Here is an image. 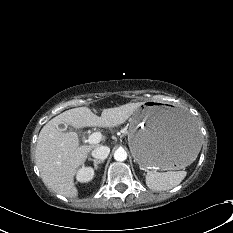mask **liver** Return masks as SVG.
Wrapping results in <instances>:
<instances>
[{
  "label": "liver",
  "instance_id": "liver-1",
  "mask_svg": "<svg viewBox=\"0 0 233 233\" xmlns=\"http://www.w3.org/2000/svg\"><path fill=\"white\" fill-rule=\"evenodd\" d=\"M143 102L127 103L102 111L95 115L88 107L67 110L47 122L38 136L35 159L42 181L46 187L60 195L75 198L78 190L74 176L84 164L93 145L79 146L75 132H62L60 124H68L76 129L83 127L111 128L123 124Z\"/></svg>",
  "mask_w": 233,
  "mask_h": 233
}]
</instances>
